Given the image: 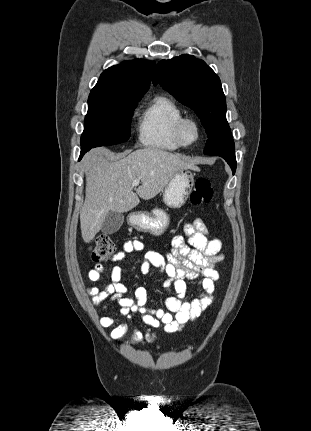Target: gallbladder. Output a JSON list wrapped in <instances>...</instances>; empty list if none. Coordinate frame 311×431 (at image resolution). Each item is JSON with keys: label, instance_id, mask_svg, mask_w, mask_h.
Segmentation results:
<instances>
[{"label": "gallbladder", "instance_id": "obj_1", "mask_svg": "<svg viewBox=\"0 0 311 431\" xmlns=\"http://www.w3.org/2000/svg\"><path fill=\"white\" fill-rule=\"evenodd\" d=\"M123 221V214H119V212H109L101 225V231H103V233H115V231L120 229Z\"/></svg>", "mask_w": 311, "mask_h": 431}]
</instances>
